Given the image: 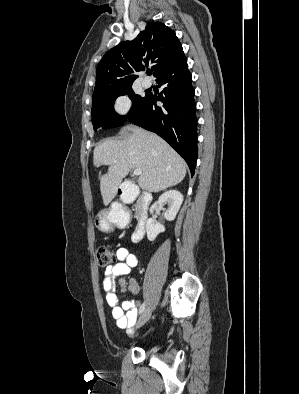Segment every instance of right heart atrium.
<instances>
[{"mask_svg": "<svg viewBox=\"0 0 299 394\" xmlns=\"http://www.w3.org/2000/svg\"><path fill=\"white\" fill-rule=\"evenodd\" d=\"M131 106V102L127 96H120L115 102V110L120 115H125Z\"/></svg>", "mask_w": 299, "mask_h": 394, "instance_id": "1", "label": "right heart atrium"}]
</instances>
